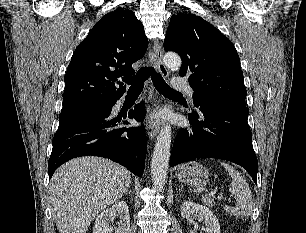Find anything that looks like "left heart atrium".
<instances>
[{"label": "left heart atrium", "instance_id": "1", "mask_svg": "<svg viewBox=\"0 0 306 233\" xmlns=\"http://www.w3.org/2000/svg\"><path fill=\"white\" fill-rule=\"evenodd\" d=\"M163 117H164L163 113H158V114L153 115L151 117L150 121L157 122V121L161 120Z\"/></svg>", "mask_w": 306, "mask_h": 233}]
</instances>
